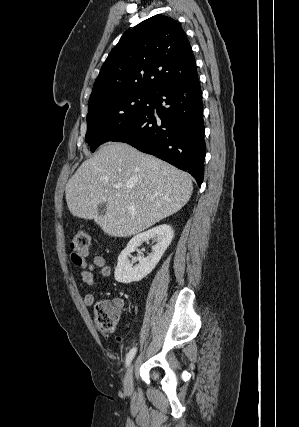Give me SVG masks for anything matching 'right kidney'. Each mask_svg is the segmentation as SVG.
Wrapping results in <instances>:
<instances>
[{
	"instance_id": "right-kidney-1",
	"label": "right kidney",
	"mask_w": 299,
	"mask_h": 427,
	"mask_svg": "<svg viewBox=\"0 0 299 427\" xmlns=\"http://www.w3.org/2000/svg\"><path fill=\"white\" fill-rule=\"evenodd\" d=\"M173 229L170 225L162 224L156 226L146 232L134 236L126 248L120 253L118 263L115 268V280L120 283H131L142 280L146 277L157 265L164 252L170 245L173 239ZM154 239L156 244L152 247V253L147 257L138 256L130 261L131 253L143 242H148ZM134 262H138L133 266Z\"/></svg>"
}]
</instances>
